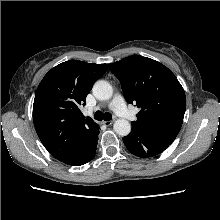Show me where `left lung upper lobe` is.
<instances>
[{"label": "left lung upper lobe", "instance_id": "left-lung-upper-lobe-1", "mask_svg": "<svg viewBox=\"0 0 220 220\" xmlns=\"http://www.w3.org/2000/svg\"><path fill=\"white\" fill-rule=\"evenodd\" d=\"M109 69L120 80L126 101L141 109L132 129L147 132L155 142L171 144L186 109L185 92L175 75L143 56L124 58L109 64Z\"/></svg>", "mask_w": 220, "mask_h": 220}]
</instances>
